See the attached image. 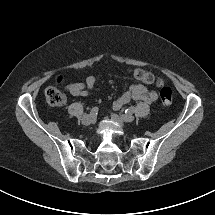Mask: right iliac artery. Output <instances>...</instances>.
<instances>
[{
  "instance_id": "1",
  "label": "right iliac artery",
  "mask_w": 215,
  "mask_h": 215,
  "mask_svg": "<svg viewBox=\"0 0 215 215\" xmlns=\"http://www.w3.org/2000/svg\"><path fill=\"white\" fill-rule=\"evenodd\" d=\"M97 113H98V107L95 106V107H93V108L91 109L90 114L95 116Z\"/></svg>"
}]
</instances>
